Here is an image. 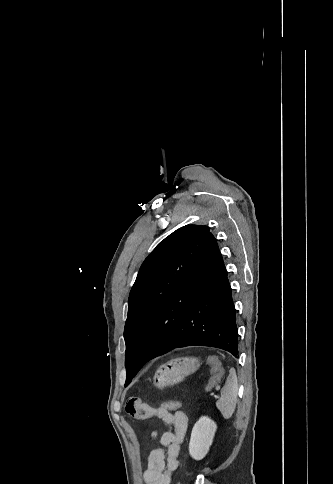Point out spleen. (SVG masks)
Returning <instances> with one entry per match:
<instances>
[{"label": "spleen", "mask_w": 333, "mask_h": 484, "mask_svg": "<svg viewBox=\"0 0 333 484\" xmlns=\"http://www.w3.org/2000/svg\"><path fill=\"white\" fill-rule=\"evenodd\" d=\"M215 381H211L208 385V389L210 386L214 385ZM237 393H238V380L236 376L235 369L232 368L229 372V376L227 377L226 383L221 390V396L216 402L217 409L221 412L222 416L225 419L231 418L235 411L236 402H237Z\"/></svg>", "instance_id": "1"}]
</instances>
